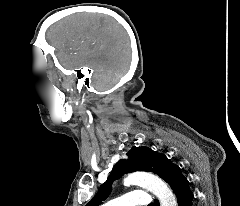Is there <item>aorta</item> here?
Wrapping results in <instances>:
<instances>
[{"mask_svg": "<svg viewBox=\"0 0 240 206\" xmlns=\"http://www.w3.org/2000/svg\"><path fill=\"white\" fill-rule=\"evenodd\" d=\"M125 185H140L152 192L159 200L160 206H177V200L167 184L158 176L146 172H136L124 179Z\"/></svg>", "mask_w": 240, "mask_h": 206, "instance_id": "aorta-1", "label": "aorta"}]
</instances>
